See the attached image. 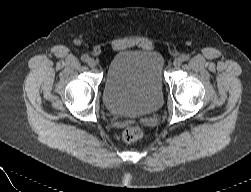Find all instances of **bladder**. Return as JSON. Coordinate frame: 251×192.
<instances>
[{
	"instance_id": "31cf9c89",
	"label": "bladder",
	"mask_w": 251,
	"mask_h": 192,
	"mask_svg": "<svg viewBox=\"0 0 251 192\" xmlns=\"http://www.w3.org/2000/svg\"><path fill=\"white\" fill-rule=\"evenodd\" d=\"M162 55L154 50H123L111 60L103 102L115 115L142 116L157 110L163 99Z\"/></svg>"
}]
</instances>
